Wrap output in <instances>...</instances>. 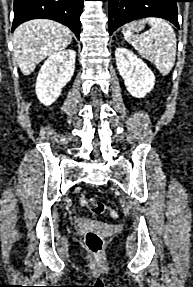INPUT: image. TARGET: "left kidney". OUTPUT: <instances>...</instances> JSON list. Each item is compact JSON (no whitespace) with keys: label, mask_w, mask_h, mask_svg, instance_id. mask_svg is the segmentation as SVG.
I'll return each instance as SVG.
<instances>
[{"label":"left kidney","mask_w":193,"mask_h":287,"mask_svg":"<svg viewBox=\"0 0 193 287\" xmlns=\"http://www.w3.org/2000/svg\"><path fill=\"white\" fill-rule=\"evenodd\" d=\"M118 71L128 92L136 98H143L155 84L150 68L132 51L119 47L115 51Z\"/></svg>","instance_id":"5707ae66"}]
</instances>
